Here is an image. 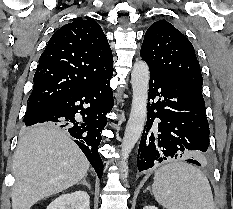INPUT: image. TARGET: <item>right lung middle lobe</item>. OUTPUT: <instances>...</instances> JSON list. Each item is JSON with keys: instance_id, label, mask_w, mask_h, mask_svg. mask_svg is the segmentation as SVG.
Segmentation results:
<instances>
[{"instance_id": "obj_1", "label": "right lung middle lobe", "mask_w": 233, "mask_h": 209, "mask_svg": "<svg viewBox=\"0 0 233 209\" xmlns=\"http://www.w3.org/2000/svg\"><path fill=\"white\" fill-rule=\"evenodd\" d=\"M43 106L44 105H41V104L27 103V111L24 117V121L29 119L31 116H33ZM48 124L51 126H57V124H54V123H48Z\"/></svg>"}]
</instances>
